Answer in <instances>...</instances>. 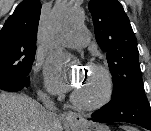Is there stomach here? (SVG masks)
<instances>
[{
    "mask_svg": "<svg viewBox=\"0 0 151 131\" xmlns=\"http://www.w3.org/2000/svg\"><path fill=\"white\" fill-rule=\"evenodd\" d=\"M74 131H110L106 125L82 123L72 126Z\"/></svg>",
    "mask_w": 151,
    "mask_h": 131,
    "instance_id": "stomach-1",
    "label": "stomach"
}]
</instances>
